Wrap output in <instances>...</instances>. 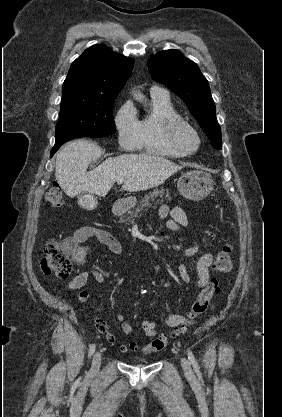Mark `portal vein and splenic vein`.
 <instances>
[{
    "label": "portal vein and splenic vein",
    "mask_w": 282,
    "mask_h": 417,
    "mask_svg": "<svg viewBox=\"0 0 282 417\" xmlns=\"http://www.w3.org/2000/svg\"><path fill=\"white\" fill-rule=\"evenodd\" d=\"M122 182H124L123 178H118L117 184H122Z\"/></svg>",
    "instance_id": "18ae733b"
}]
</instances>
